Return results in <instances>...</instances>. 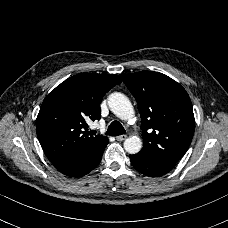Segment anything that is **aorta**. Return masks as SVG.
<instances>
[{
    "mask_svg": "<svg viewBox=\"0 0 228 228\" xmlns=\"http://www.w3.org/2000/svg\"><path fill=\"white\" fill-rule=\"evenodd\" d=\"M110 110L121 120H132L135 111L129 98L120 92L108 96ZM142 148V141L137 136H131L124 141V149L129 154H136Z\"/></svg>",
    "mask_w": 228,
    "mask_h": 228,
    "instance_id": "aorta-1",
    "label": "aorta"
}]
</instances>
